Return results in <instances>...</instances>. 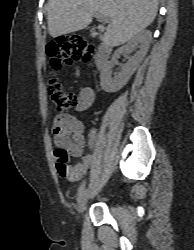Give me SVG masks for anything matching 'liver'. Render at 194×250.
Wrapping results in <instances>:
<instances>
[{
	"label": "liver",
	"instance_id": "1",
	"mask_svg": "<svg viewBox=\"0 0 194 250\" xmlns=\"http://www.w3.org/2000/svg\"><path fill=\"white\" fill-rule=\"evenodd\" d=\"M159 0H49L46 4L49 34L55 38L85 29L94 14L110 18L103 41L119 46L148 27L155 19Z\"/></svg>",
	"mask_w": 194,
	"mask_h": 250
}]
</instances>
